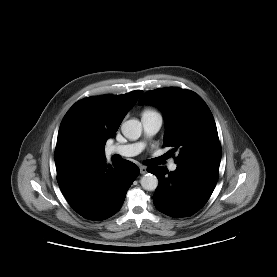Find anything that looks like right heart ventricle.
<instances>
[{
	"label": "right heart ventricle",
	"mask_w": 277,
	"mask_h": 277,
	"mask_svg": "<svg viewBox=\"0 0 277 277\" xmlns=\"http://www.w3.org/2000/svg\"><path fill=\"white\" fill-rule=\"evenodd\" d=\"M143 114H158V113L152 109H145Z\"/></svg>",
	"instance_id": "obj_1"
}]
</instances>
